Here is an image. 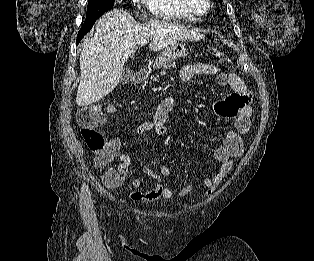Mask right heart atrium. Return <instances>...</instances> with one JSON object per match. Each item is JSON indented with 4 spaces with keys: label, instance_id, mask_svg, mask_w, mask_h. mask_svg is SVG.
Instances as JSON below:
<instances>
[{
    "label": "right heart atrium",
    "instance_id": "right-heart-atrium-1",
    "mask_svg": "<svg viewBox=\"0 0 314 261\" xmlns=\"http://www.w3.org/2000/svg\"><path fill=\"white\" fill-rule=\"evenodd\" d=\"M132 2L137 8H141L146 4V0H132Z\"/></svg>",
    "mask_w": 314,
    "mask_h": 261
}]
</instances>
